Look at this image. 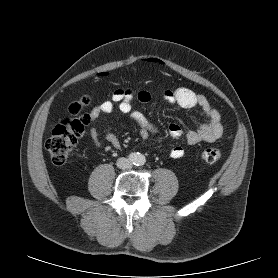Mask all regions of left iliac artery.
I'll return each mask as SVG.
<instances>
[{
    "label": "left iliac artery",
    "instance_id": "left-iliac-artery-1",
    "mask_svg": "<svg viewBox=\"0 0 278 278\" xmlns=\"http://www.w3.org/2000/svg\"><path fill=\"white\" fill-rule=\"evenodd\" d=\"M143 162H144V159H143V157H142V158H140L139 163H140V164H143Z\"/></svg>",
    "mask_w": 278,
    "mask_h": 278
}]
</instances>
